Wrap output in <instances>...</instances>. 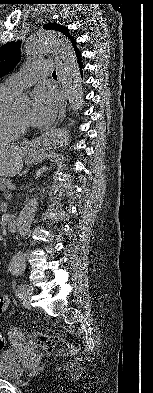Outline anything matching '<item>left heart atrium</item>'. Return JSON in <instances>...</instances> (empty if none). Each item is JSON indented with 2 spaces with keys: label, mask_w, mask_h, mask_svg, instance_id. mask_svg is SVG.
<instances>
[{
  "label": "left heart atrium",
  "mask_w": 153,
  "mask_h": 393,
  "mask_svg": "<svg viewBox=\"0 0 153 393\" xmlns=\"http://www.w3.org/2000/svg\"><path fill=\"white\" fill-rule=\"evenodd\" d=\"M59 98L56 93L37 89L33 95V103L29 114V123L35 127L50 124L58 110Z\"/></svg>",
  "instance_id": "1"
}]
</instances>
